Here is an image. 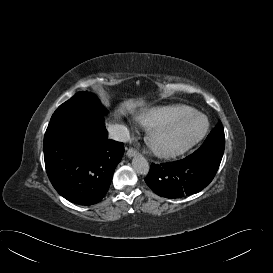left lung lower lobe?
Wrapping results in <instances>:
<instances>
[{
	"label": "left lung lower lobe",
	"instance_id": "1",
	"mask_svg": "<svg viewBox=\"0 0 273 273\" xmlns=\"http://www.w3.org/2000/svg\"><path fill=\"white\" fill-rule=\"evenodd\" d=\"M221 161L193 153L170 163L151 164L145 178L154 193L166 198H181L203 190L214 178Z\"/></svg>",
	"mask_w": 273,
	"mask_h": 273
}]
</instances>
